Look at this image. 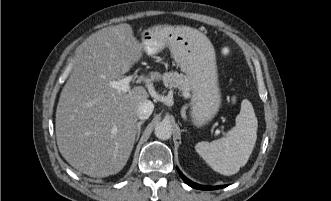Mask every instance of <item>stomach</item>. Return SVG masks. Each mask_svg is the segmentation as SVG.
Here are the masks:
<instances>
[{
  "label": "stomach",
  "instance_id": "0dacf381",
  "mask_svg": "<svg viewBox=\"0 0 331 201\" xmlns=\"http://www.w3.org/2000/svg\"><path fill=\"white\" fill-rule=\"evenodd\" d=\"M162 26L142 33V44L148 55L168 47L176 64L187 76L192 91L191 119L196 127L208 124L221 105L216 56L210 40L198 30L175 26L162 38Z\"/></svg>",
  "mask_w": 331,
  "mask_h": 201
}]
</instances>
